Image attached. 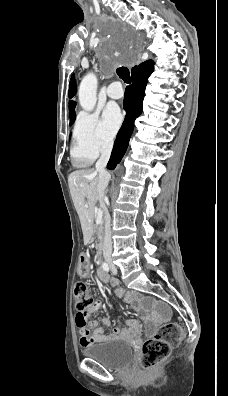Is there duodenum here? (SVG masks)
Masks as SVG:
<instances>
[{
  "label": "duodenum",
  "instance_id": "duodenum-1",
  "mask_svg": "<svg viewBox=\"0 0 228 396\" xmlns=\"http://www.w3.org/2000/svg\"><path fill=\"white\" fill-rule=\"evenodd\" d=\"M98 253H99V255H100V254H101V250H99ZM98 274H99V277H100V279H101L102 281H106V280H107L106 274H105L101 269H99Z\"/></svg>",
  "mask_w": 228,
  "mask_h": 396
}]
</instances>
